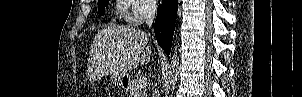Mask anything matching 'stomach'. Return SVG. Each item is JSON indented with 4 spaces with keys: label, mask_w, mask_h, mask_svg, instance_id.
<instances>
[{
    "label": "stomach",
    "mask_w": 302,
    "mask_h": 97,
    "mask_svg": "<svg viewBox=\"0 0 302 97\" xmlns=\"http://www.w3.org/2000/svg\"><path fill=\"white\" fill-rule=\"evenodd\" d=\"M110 80L114 85L125 88L130 81V77L127 73H113L110 76Z\"/></svg>",
    "instance_id": "1"
}]
</instances>
